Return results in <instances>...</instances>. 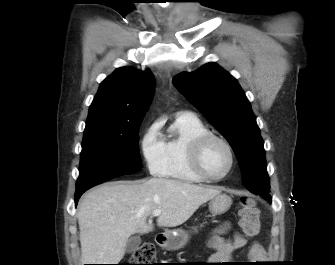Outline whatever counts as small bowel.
Segmentation results:
<instances>
[{"label":"small bowel","mask_w":335,"mask_h":265,"mask_svg":"<svg viewBox=\"0 0 335 265\" xmlns=\"http://www.w3.org/2000/svg\"><path fill=\"white\" fill-rule=\"evenodd\" d=\"M230 226L228 223L222 224L210 235L207 245L214 253L209 260L214 264L224 263L232 259L233 253L247 244L246 239L240 234H235L232 240L225 239L223 235L228 232ZM247 257L251 261L260 262L265 259V252L258 242H254L247 252Z\"/></svg>","instance_id":"obj_1"}]
</instances>
